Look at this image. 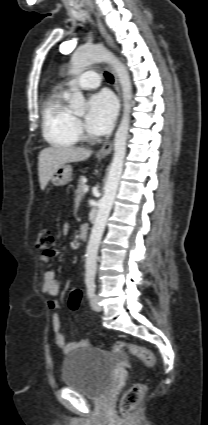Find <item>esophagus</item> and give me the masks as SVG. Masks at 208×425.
Returning a JSON list of instances; mask_svg holds the SVG:
<instances>
[{"mask_svg":"<svg viewBox=\"0 0 208 425\" xmlns=\"http://www.w3.org/2000/svg\"><path fill=\"white\" fill-rule=\"evenodd\" d=\"M95 15L97 17L98 26H99V29H100L102 36L105 38L107 44L112 47L113 46L112 40H111L110 36L108 35V33L106 32L105 27L103 26L99 15L98 14H95ZM112 72H113L114 78H115V89H116L119 101L121 102V92H120L118 78H117V75H116L114 69H112ZM112 147H113L112 140L105 142L103 144V146L101 147V149L98 151V155L99 156H107L108 154L111 153Z\"/></svg>","mask_w":208,"mask_h":425,"instance_id":"obj_1","label":"esophagus"}]
</instances>
